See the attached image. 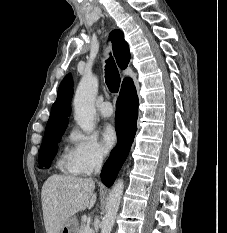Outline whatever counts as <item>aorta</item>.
Listing matches in <instances>:
<instances>
[{"label": "aorta", "mask_w": 227, "mask_h": 233, "mask_svg": "<svg viewBox=\"0 0 227 233\" xmlns=\"http://www.w3.org/2000/svg\"><path fill=\"white\" fill-rule=\"evenodd\" d=\"M98 90V79L91 74L82 77L73 101L74 119L84 132L94 129L95 97ZM123 181L118 180L110 193L106 214L101 222V233H111L123 194Z\"/></svg>", "instance_id": "obj_1"}]
</instances>
